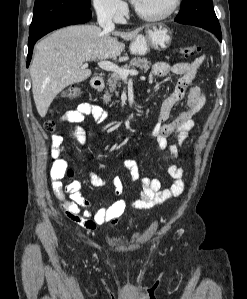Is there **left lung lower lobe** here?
I'll return each mask as SVG.
<instances>
[{
    "mask_svg": "<svg viewBox=\"0 0 247 299\" xmlns=\"http://www.w3.org/2000/svg\"><path fill=\"white\" fill-rule=\"evenodd\" d=\"M175 21L181 24H188V25L204 28L212 32L213 34H215V36L219 39L220 42L222 41L221 27L218 24L210 23L202 18H186V19H180Z\"/></svg>",
    "mask_w": 247,
    "mask_h": 299,
    "instance_id": "1",
    "label": "left lung lower lobe"
}]
</instances>
